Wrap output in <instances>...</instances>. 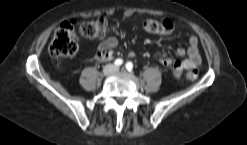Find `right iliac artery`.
<instances>
[{
  "mask_svg": "<svg viewBox=\"0 0 247 145\" xmlns=\"http://www.w3.org/2000/svg\"><path fill=\"white\" fill-rule=\"evenodd\" d=\"M114 64L116 66H121L123 64V60L122 59H116L115 62H114Z\"/></svg>",
  "mask_w": 247,
  "mask_h": 145,
  "instance_id": "82829eb1",
  "label": "right iliac artery"
}]
</instances>
